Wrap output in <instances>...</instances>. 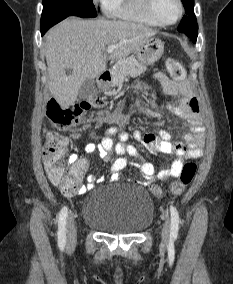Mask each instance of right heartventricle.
Instances as JSON below:
<instances>
[{"label": "right heart ventricle", "instance_id": "right-heart-ventricle-1", "mask_svg": "<svg viewBox=\"0 0 233 284\" xmlns=\"http://www.w3.org/2000/svg\"><path fill=\"white\" fill-rule=\"evenodd\" d=\"M103 8L109 17L115 19L159 26L146 11L145 0H103Z\"/></svg>", "mask_w": 233, "mask_h": 284}]
</instances>
